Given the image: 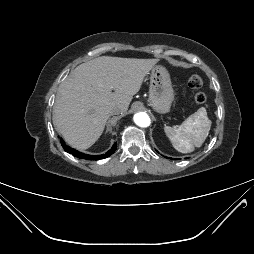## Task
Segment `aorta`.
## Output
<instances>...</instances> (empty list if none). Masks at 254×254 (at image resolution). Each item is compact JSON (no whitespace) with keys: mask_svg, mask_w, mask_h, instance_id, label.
<instances>
[{"mask_svg":"<svg viewBox=\"0 0 254 254\" xmlns=\"http://www.w3.org/2000/svg\"><path fill=\"white\" fill-rule=\"evenodd\" d=\"M134 122L140 127H148L150 125V118L145 112H140L134 115Z\"/></svg>","mask_w":254,"mask_h":254,"instance_id":"aorta-1","label":"aorta"}]
</instances>
